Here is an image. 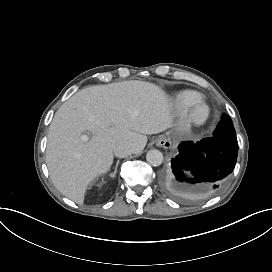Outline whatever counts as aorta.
<instances>
[{
	"label": "aorta",
	"instance_id": "obj_1",
	"mask_svg": "<svg viewBox=\"0 0 272 272\" xmlns=\"http://www.w3.org/2000/svg\"><path fill=\"white\" fill-rule=\"evenodd\" d=\"M146 160L150 165L160 166L163 163V154L159 150H150L146 155Z\"/></svg>",
	"mask_w": 272,
	"mask_h": 272
}]
</instances>
